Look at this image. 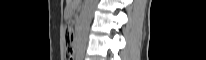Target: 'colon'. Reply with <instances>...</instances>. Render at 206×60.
<instances>
[{
	"label": "colon",
	"mask_w": 206,
	"mask_h": 60,
	"mask_svg": "<svg viewBox=\"0 0 206 60\" xmlns=\"http://www.w3.org/2000/svg\"><path fill=\"white\" fill-rule=\"evenodd\" d=\"M65 39L67 45V59L73 60L74 32L71 25H67L65 28Z\"/></svg>",
	"instance_id": "colon-1"
}]
</instances>
